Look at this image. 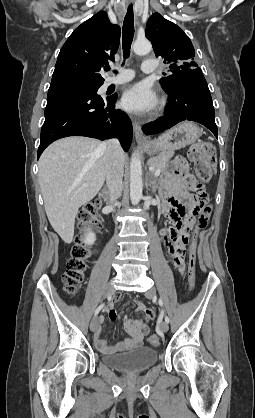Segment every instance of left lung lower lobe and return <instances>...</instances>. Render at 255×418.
<instances>
[{"instance_id":"0a47b994","label":"left lung lower lobe","mask_w":255,"mask_h":418,"mask_svg":"<svg viewBox=\"0 0 255 418\" xmlns=\"http://www.w3.org/2000/svg\"><path fill=\"white\" fill-rule=\"evenodd\" d=\"M167 94L169 102L166 114L142 127L146 135L162 132L181 121L190 120L201 123L218 138L212 98L202 72L183 77Z\"/></svg>"}]
</instances>
